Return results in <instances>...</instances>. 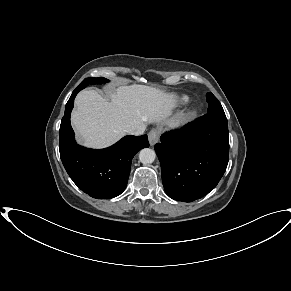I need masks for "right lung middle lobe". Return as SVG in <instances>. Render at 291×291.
<instances>
[{"instance_id":"right-lung-middle-lobe-1","label":"right lung middle lobe","mask_w":291,"mask_h":291,"mask_svg":"<svg viewBox=\"0 0 291 291\" xmlns=\"http://www.w3.org/2000/svg\"><path fill=\"white\" fill-rule=\"evenodd\" d=\"M109 80L105 79V78H102V77H98V78H93V77H90V78H86L84 79L80 86L81 88L83 89L85 86H87L88 84H100V83H106L108 82Z\"/></svg>"}]
</instances>
